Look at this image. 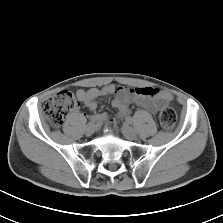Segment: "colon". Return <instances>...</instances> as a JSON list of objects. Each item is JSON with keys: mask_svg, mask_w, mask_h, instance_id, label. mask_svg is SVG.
Returning a JSON list of instances; mask_svg holds the SVG:
<instances>
[{"mask_svg": "<svg viewBox=\"0 0 223 223\" xmlns=\"http://www.w3.org/2000/svg\"><path fill=\"white\" fill-rule=\"evenodd\" d=\"M78 102L74 94L63 90L51 97L44 105L43 113L53 127L63 124L66 115L76 109ZM177 115L173 108L165 107L159 113V122L166 130H171L176 124Z\"/></svg>", "mask_w": 223, "mask_h": 223, "instance_id": "colon-1", "label": "colon"}]
</instances>
